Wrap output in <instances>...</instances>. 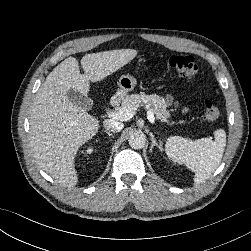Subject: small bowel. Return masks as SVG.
Wrapping results in <instances>:
<instances>
[{"instance_id":"obj_1","label":"small bowel","mask_w":251,"mask_h":251,"mask_svg":"<svg viewBox=\"0 0 251 251\" xmlns=\"http://www.w3.org/2000/svg\"><path fill=\"white\" fill-rule=\"evenodd\" d=\"M165 99L169 104H173V97L171 95H166Z\"/></svg>"}]
</instances>
